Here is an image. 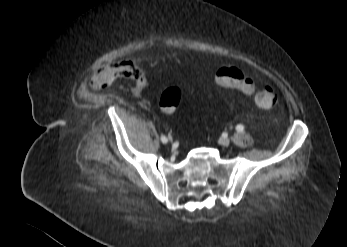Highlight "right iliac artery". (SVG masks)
<instances>
[{"label":"right iliac artery","instance_id":"right-iliac-artery-1","mask_svg":"<svg viewBox=\"0 0 347 247\" xmlns=\"http://www.w3.org/2000/svg\"><path fill=\"white\" fill-rule=\"evenodd\" d=\"M161 141L163 142V143H167L168 142V139L165 137V136H161Z\"/></svg>","mask_w":347,"mask_h":247}]
</instances>
